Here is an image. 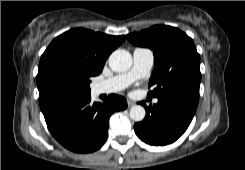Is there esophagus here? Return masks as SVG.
Masks as SVG:
<instances>
[{"instance_id":"1","label":"esophagus","mask_w":245,"mask_h":170,"mask_svg":"<svg viewBox=\"0 0 245 170\" xmlns=\"http://www.w3.org/2000/svg\"><path fill=\"white\" fill-rule=\"evenodd\" d=\"M127 104H128V107H131L132 105H134V102L128 99Z\"/></svg>"}]
</instances>
